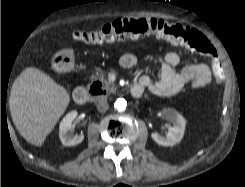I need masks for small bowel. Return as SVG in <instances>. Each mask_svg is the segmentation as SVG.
<instances>
[{"instance_id": "1", "label": "small bowel", "mask_w": 245, "mask_h": 187, "mask_svg": "<svg viewBox=\"0 0 245 187\" xmlns=\"http://www.w3.org/2000/svg\"><path fill=\"white\" fill-rule=\"evenodd\" d=\"M179 55L175 52L166 53L160 60V78L153 80L147 75L141 76L135 85L143 90H148L156 96H171L178 93L185 85L192 88H201L212 79L209 67L205 64L188 65L177 71ZM137 64V58L132 53H125L120 58V65L131 69Z\"/></svg>"}]
</instances>
